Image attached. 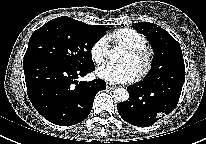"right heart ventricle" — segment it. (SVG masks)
<instances>
[{"label":"right heart ventricle","mask_w":206,"mask_h":144,"mask_svg":"<svg viewBox=\"0 0 206 144\" xmlns=\"http://www.w3.org/2000/svg\"><path fill=\"white\" fill-rule=\"evenodd\" d=\"M108 40L125 47H146V38L132 28H121L107 36Z\"/></svg>","instance_id":"obj_1"}]
</instances>
